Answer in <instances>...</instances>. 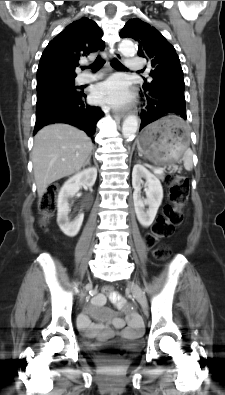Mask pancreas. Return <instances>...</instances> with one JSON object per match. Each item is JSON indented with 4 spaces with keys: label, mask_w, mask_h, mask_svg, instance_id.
Listing matches in <instances>:
<instances>
[{
    "label": "pancreas",
    "mask_w": 225,
    "mask_h": 395,
    "mask_svg": "<svg viewBox=\"0 0 225 395\" xmlns=\"http://www.w3.org/2000/svg\"><path fill=\"white\" fill-rule=\"evenodd\" d=\"M157 177L159 178V179H161V180H164V178H165V176H164V173L162 172V173H159V174H157Z\"/></svg>",
    "instance_id": "cf45deb5"
}]
</instances>
